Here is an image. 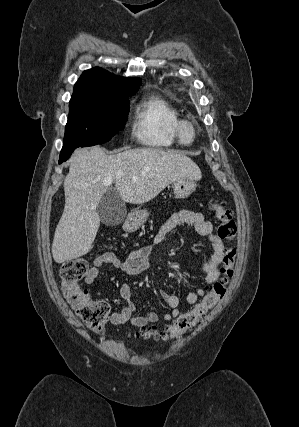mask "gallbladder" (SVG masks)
<instances>
[{
	"label": "gallbladder",
	"mask_w": 299,
	"mask_h": 427,
	"mask_svg": "<svg viewBox=\"0 0 299 427\" xmlns=\"http://www.w3.org/2000/svg\"><path fill=\"white\" fill-rule=\"evenodd\" d=\"M97 213L100 221L107 226H116L124 221L127 211L118 191H106L97 205Z\"/></svg>",
	"instance_id": "1"
}]
</instances>
